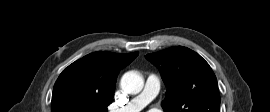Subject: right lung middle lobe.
<instances>
[{
  "instance_id": "dd1d6c3e",
  "label": "right lung middle lobe",
  "mask_w": 270,
  "mask_h": 112,
  "mask_svg": "<svg viewBox=\"0 0 270 112\" xmlns=\"http://www.w3.org/2000/svg\"><path fill=\"white\" fill-rule=\"evenodd\" d=\"M53 112H106L107 106L76 95L61 96L55 103Z\"/></svg>"
}]
</instances>
